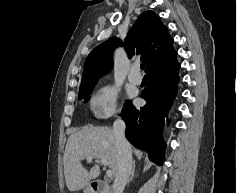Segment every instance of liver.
Wrapping results in <instances>:
<instances>
[{
    "instance_id": "obj_1",
    "label": "liver",
    "mask_w": 237,
    "mask_h": 193,
    "mask_svg": "<svg viewBox=\"0 0 237 193\" xmlns=\"http://www.w3.org/2000/svg\"><path fill=\"white\" fill-rule=\"evenodd\" d=\"M92 156L103 158L114 176L118 167V150L113 129L106 126L86 125L68 138L64 152V176L71 192L85 188L91 180L100 175V167L95 164L90 171L81 161Z\"/></svg>"
}]
</instances>
